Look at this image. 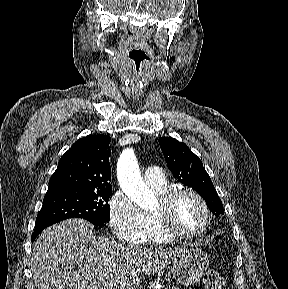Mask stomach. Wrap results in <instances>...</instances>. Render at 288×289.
Here are the masks:
<instances>
[{
  "label": "stomach",
  "mask_w": 288,
  "mask_h": 289,
  "mask_svg": "<svg viewBox=\"0 0 288 289\" xmlns=\"http://www.w3.org/2000/svg\"><path fill=\"white\" fill-rule=\"evenodd\" d=\"M210 261L201 249L186 250L173 261V277L179 284L189 286L200 281L209 267Z\"/></svg>",
  "instance_id": "0dacf381"
}]
</instances>
